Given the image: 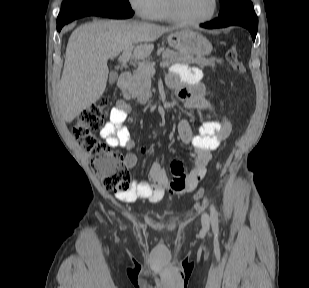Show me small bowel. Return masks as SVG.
<instances>
[{"instance_id":"small-bowel-1","label":"small bowel","mask_w":309,"mask_h":288,"mask_svg":"<svg viewBox=\"0 0 309 288\" xmlns=\"http://www.w3.org/2000/svg\"><path fill=\"white\" fill-rule=\"evenodd\" d=\"M202 72L197 67L175 65L167 78V84L174 89L182 100L185 109L196 111L210 110L212 106L207 98L206 89L200 83ZM129 105L119 100L111 109L110 119L100 131V136L112 148H124L132 151L135 143L132 139L127 120L129 118ZM181 140L193 148V165L186 171L180 160L171 163V177L158 163L152 164L149 170L150 181H134L129 192L116 194V199L132 203L139 199L157 202L164 195L166 187L174 194H184L196 189L198 183L204 178L206 167L210 161L211 153L219 149L223 141L232 130L230 121L223 118L221 121H203L194 133L190 124L181 119L177 125ZM137 157L130 153L126 156L127 166L133 168Z\"/></svg>"}]
</instances>
